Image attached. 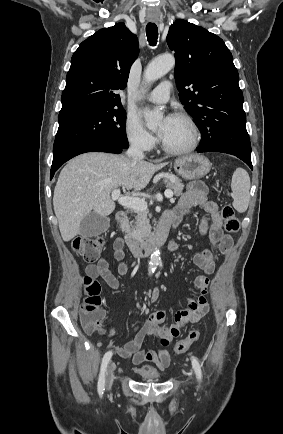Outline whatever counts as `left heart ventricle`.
<instances>
[{
    "label": "left heart ventricle",
    "mask_w": 283,
    "mask_h": 434,
    "mask_svg": "<svg viewBox=\"0 0 283 434\" xmlns=\"http://www.w3.org/2000/svg\"><path fill=\"white\" fill-rule=\"evenodd\" d=\"M190 138L191 133L188 125L182 119L174 117L171 127L167 135L163 138V141L170 147L181 148L188 145Z\"/></svg>",
    "instance_id": "1"
}]
</instances>
